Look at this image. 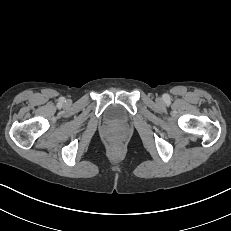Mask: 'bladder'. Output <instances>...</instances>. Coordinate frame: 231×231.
I'll return each instance as SVG.
<instances>
[{
	"instance_id": "1",
	"label": "bladder",
	"mask_w": 231,
	"mask_h": 231,
	"mask_svg": "<svg viewBox=\"0 0 231 231\" xmlns=\"http://www.w3.org/2000/svg\"><path fill=\"white\" fill-rule=\"evenodd\" d=\"M125 117V111L118 105H111L106 110L105 118L111 124H122Z\"/></svg>"
}]
</instances>
